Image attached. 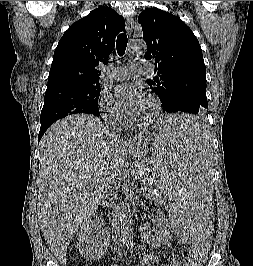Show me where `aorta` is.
<instances>
[{"mask_svg": "<svg viewBox=\"0 0 253 266\" xmlns=\"http://www.w3.org/2000/svg\"><path fill=\"white\" fill-rule=\"evenodd\" d=\"M132 54H143L146 52V44L143 41H133L129 46ZM118 224L121 233V239L124 244L133 242L131 210L128 203H122L118 210Z\"/></svg>", "mask_w": 253, "mask_h": 266, "instance_id": "762f6f07", "label": "aorta"}]
</instances>
